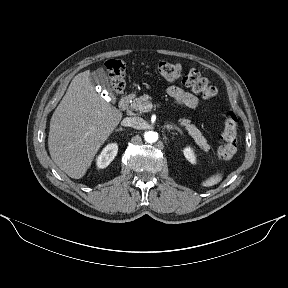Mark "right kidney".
<instances>
[{"instance_id":"right-kidney-1","label":"right kidney","mask_w":288,"mask_h":288,"mask_svg":"<svg viewBox=\"0 0 288 288\" xmlns=\"http://www.w3.org/2000/svg\"><path fill=\"white\" fill-rule=\"evenodd\" d=\"M118 152V145L116 143L108 144L100 153L97 158V166L98 168L107 167L115 158Z\"/></svg>"}]
</instances>
